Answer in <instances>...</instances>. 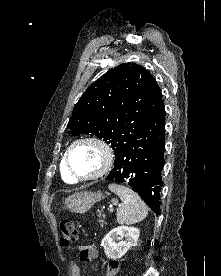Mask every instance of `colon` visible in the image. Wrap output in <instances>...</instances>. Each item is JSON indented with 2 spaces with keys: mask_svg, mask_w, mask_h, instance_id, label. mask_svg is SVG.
I'll return each instance as SVG.
<instances>
[{
  "mask_svg": "<svg viewBox=\"0 0 221 276\" xmlns=\"http://www.w3.org/2000/svg\"><path fill=\"white\" fill-rule=\"evenodd\" d=\"M60 242L62 246H70L77 241L78 230L71 220H63L60 223ZM120 263L119 261L113 260L110 261L107 270L106 276H115L119 271Z\"/></svg>",
  "mask_w": 221,
  "mask_h": 276,
  "instance_id": "obj_1",
  "label": "colon"
}]
</instances>
